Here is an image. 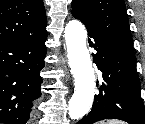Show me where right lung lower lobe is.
I'll return each instance as SVG.
<instances>
[{"mask_svg":"<svg viewBox=\"0 0 145 124\" xmlns=\"http://www.w3.org/2000/svg\"><path fill=\"white\" fill-rule=\"evenodd\" d=\"M46 30L0 42V123L26 124L41 96Z\"/></svg>","mask_w":145,"mask_h":124,"instance_id":"1","label":"right lung lower lobe"}]
</instances>
